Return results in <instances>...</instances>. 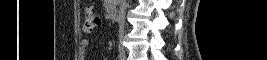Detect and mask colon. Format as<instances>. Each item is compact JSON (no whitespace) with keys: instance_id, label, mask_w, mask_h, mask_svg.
<instances>
[{"instance_id":"5ec220e1","label":"colon","mask_w":267,"mask_h":60,"mask_svg":"<svg viewBox=\"0 0 267 60\" xmlns=\"http://www.w3.org/2000/svg\"><path fill=\"white\" fill-rule=\"evenodd\" d=\"M101 15L92 8L85 9L83 13V29L85 32H92L101 24Z\"/></svg>"}]
</instances>
